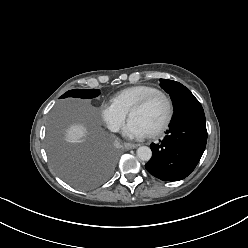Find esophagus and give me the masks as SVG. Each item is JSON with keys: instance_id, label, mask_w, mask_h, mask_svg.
Wrapping results in <instances>:
<instances>
[{"instance_id": "1", "label": "esophagus", "mask_w": 248, "mask_h": 248, "mask_svg": "<svg viewBox=\"0 0 248 248\" xmlns=\"http://www.w3.org/2000/svg\"><path fill=\"white\" fill-rule=\"evenodd\" d=\"M124 147H125L127 150H129V149H135V148H137L138 145H137V144H131V143H125V144H124Z\"/></svg>"}]
</instances>
